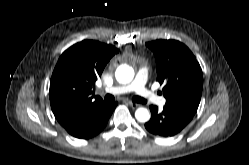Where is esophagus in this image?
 Listing matches in <instances>:
<instances>
[{
    "label": "esophagus",
    "instance_id": "1",
    "mask_svg": "<svg viewBox=\"0 0 249 165\" xmlns=\"http://www.w3.org/2000/svg\"><path fill=\"white\" fill-rule=\"evenodd\" d=\"M128 104L130 105V107H132L133 109L138 108L140 105L138 103L132 102V101H128Z\"/></svg>",
    "mask_w": 249,
    "mask_h": 165
}]
</instances>
